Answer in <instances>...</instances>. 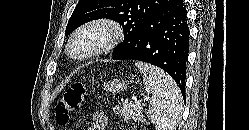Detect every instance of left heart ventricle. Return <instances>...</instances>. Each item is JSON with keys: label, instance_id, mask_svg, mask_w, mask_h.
Wrapping results in <instances>:
<instances>
[{"label": "left heart ventricle", "instance_id": "obj_1", "mask_svg": "<svg viewBox=\"0 0 249 130\" xmlns=\"http://www.w3.org/2000/svg\"><path fill=\"white\" fill-rule=\"evenodd\" d=\"M105 37L106 34L103 31H90L73 42L71 46V51L75 55H81L93 46L100 43L102 40H104Z\"/></svg>", "mask_w": 249, "mask_h": 130}]
</instances>
